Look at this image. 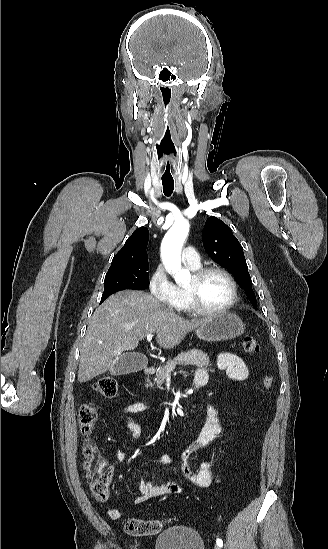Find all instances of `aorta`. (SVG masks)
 <instances>
[{"label": "aorta", "instance_id": "obj_1", "mask_svg": "<svg viewBox=\"0 0 328 549\" xmlns=\"http://www.w3.org/2000/svg\"><path fill=\"white\" fill-rule=\"evenodd\" d=\"M188 221L182 219L176 221L166 233L161 244V258L169 273H171L178 284L190 280V272L182 268L181 250L189 232Z\"/></svg>", "mask_w": 328, "mask_h": 549}]
</instances>
